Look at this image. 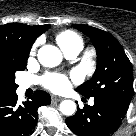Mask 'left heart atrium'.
I'll list each match as a JSON object with an SVG mask.
<instances>
[{
	"mask_svg": "<svg viewBox=\"0 0 136 136\" xmlns=\"http://www.w3.org/2000/svg\"><path fill=\"white\" fill-rule=\"evenodd\" d=\"M41 81L44 87L53 92H63L70 87V79L64 74L49 73Z\"/></svg>",
	"mask_w": 136,
	"mask_h": 136,
	"instance_id": "39dd6f15",
	"label": "left heart atrium"
}]
</instances>
